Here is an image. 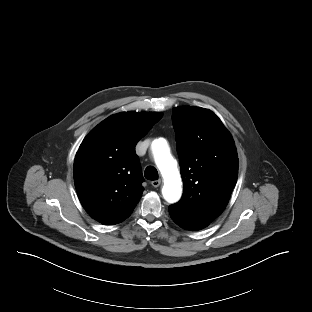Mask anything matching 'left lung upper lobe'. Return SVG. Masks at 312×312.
<instances>
[{
	"mask_svg": "<svg viewBox=\"0 0 312 312\" xmlns=\"http://www.w3.org/2000/svg\"><path fill=\"white\" fill-rule=\"evenodd\" d=\"M172 123L183 179L178 212L206 223L225 209L237 182L238 155L234 140L210 110L180 106Z\"/></svg>",
	"mask_w": 312,
	"mask_h": 312,
	"instance_id": "obj_1",
	"label": "left lung upper lobe"
}]
</instances>
